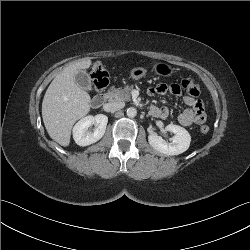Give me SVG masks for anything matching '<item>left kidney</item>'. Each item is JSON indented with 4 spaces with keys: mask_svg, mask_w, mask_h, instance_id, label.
<instances>
[{
    "mask_svg": "<svg viewBox=\"0 0 250 250\" xmlns=\"http://www.w3.org/2000/svg\"><path fill=\"white\" fill-rule=\"evenodd\" d=\"M166 130L173 133L171 142L165 141L161 136L157 134H150L148 136L149 144L158 152L165 155H179L185 152L191 142V136L186 129L181 126L169 124Z\"/></svg>",
    "mask_w": 250,
    "mask_h": 250,
    "instance_id": "obj_1",
    "label": "left kidney"
}]
</instances>
